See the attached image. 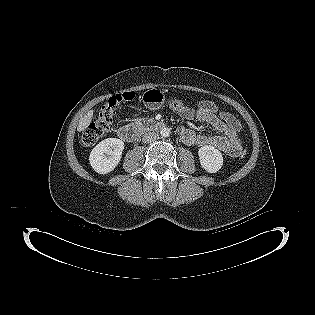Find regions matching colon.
Here are the masks:
<instances>
[{"instance_id":"1","label":"colon","mask_w":315,"mask_h":315,"mask_svg":"<svg viewBox=\"0 0 315 315\" xmlns=\"http://www.w3.org/2000/svg\"><path fill=\"white\" fill-rule=\"evenodd\" d=\"M135 94L133 92H122L112 95L107 99L101 107L98 118L89 124L81 136V141L85 146L94 145L100 138L108 133L113 122L116 110L124 102L133 100ZM171 109H180L186 106V101L181 98H173L169 101ZM241 158L246 159L249 156L248 151L241 150L239 153Z\"/></svg>"}]
</instances>
